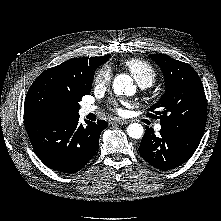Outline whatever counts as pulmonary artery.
I'll return each instance as SVG.
<instances>
[{"instance_id": "obj_1", "label": "pulmonary artery", "mask_w": 221, "mask_h": 221, "mask_svg": "<svg viewBox=\"0 0 221 221\" xmlns=\"http://www.w3.org/2000/svg\"><path fill=\"white\" fill-rule=\"evenodd\" d=\"M96 110V107L95 106H92V105H84L83 107H82V109H81V113L83 114V115H86V114H89V113H91V112H94ZM155 129L157 130V131H159L160 129H161V125L160 124H157L156 126H155Z\"/></svg>"}]
</instances>
